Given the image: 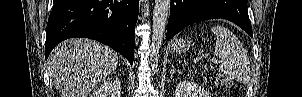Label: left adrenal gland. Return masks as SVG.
Masks as SVG:
<instances>
[{
    "mask_svg": "<svg viewBox=\"0 0 302 97\" xmlns=\"http://www.w3.org/2000/svg\"><path fill=\"white\" fill-rule=\"evenodd\" d=\"M171 76H173L175 73H180L179 71H176L175 69H174V67L172 66V70H171Z\"/></svg>",
    "mask_w": 302,
    "mask_h": 97,
    "instance_id": "a2214340",
    "label": "left adrenal gland"
}]
</instances>
